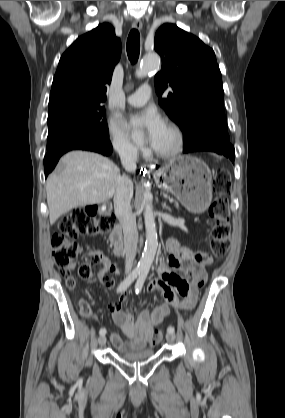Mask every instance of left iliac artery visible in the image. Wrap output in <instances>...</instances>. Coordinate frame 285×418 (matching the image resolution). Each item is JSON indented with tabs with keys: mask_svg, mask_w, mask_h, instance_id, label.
I'll list each match as a JSON object with an SVG mask.
<instances>
[{
	"mask_svg": "<svg viewBox=\"0 0 285 418\" xmlns=\"http://www.w3.org/2000/svg\"><path fill=\"white\" fill-rule=\"evenodd\" d=\"M147 274H148V270L147 269L142 270V272L140 273L139 278H138V280L136 282V285H135V292L137 294L141 291V289L143 287V284H144V281L146 279ZM167 332L168 333H174L175 332V328L173 326H169L167 328Z\"/></svg>",
	"mask_w": 285,
	"mask_h": 418,
	"instance_id": "obj_1",
	"label": "left iliac artery"
}]
</instances>
